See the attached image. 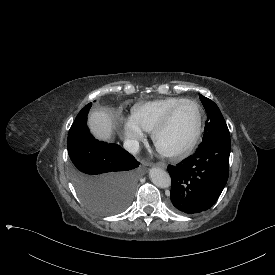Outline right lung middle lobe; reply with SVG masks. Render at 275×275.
I'll return each mask as SVG.
<instances>
[{"mask_svg":"<svg viewBox=\"0 0 275 275\" xmlns=\"http://www.w3.org/2000/svg\"><path fill=\"white\" fill-rule=\"evenodd\" d=\"M92 103L81 109L68 134L70 177L83 203L100 215H114L130 204L142 175L140 163L117 144L98 141L87 126Z\"/></svg>","mask_w":275,"mask_h":275,"instance_id":"1","label":"right lung middle lobe"}]
</instances>
